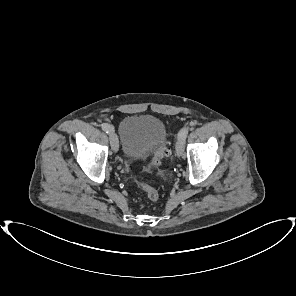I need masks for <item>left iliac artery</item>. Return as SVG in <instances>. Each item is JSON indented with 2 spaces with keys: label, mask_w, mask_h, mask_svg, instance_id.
Instances as JSON below:
<instances>
[{
  "label": "left iliac artery",
  "mask_w": 296,
  "mask_h": 296,
  "mask_svg": "<svg viewBox=\"0 0 296 296\" xmlns=\"http://www.w3.org/2000/svg\"><path fill=\"white\" fill-rule=\"evenodd\" d=\"M188 131H189V129L187 127L182 128L178 134V137L186 139Z\"/></svg>",
  "instance_id": "left-iliac-artery-1"
}]
</instances>
